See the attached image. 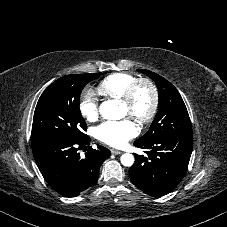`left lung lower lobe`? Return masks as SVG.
Here are the masks:
<instances>
[{
	"label": "left lung lower lobe",
	"instance_id": "0a47b994",
	"mask_svg": "<svg viewBox=\"0 0 227 227\" xmlns=\"http://www.w3.org/2000/svg\"><path fill=\"white\" fill-rule=\"evenodd\" d=\"M138 148L146 149V156H135L129 169L132 183L150 196L170 193L184 177L192 148L193 135H178L158 139L150 143L134 142Z\"/></svg>",
	"mask_w": 227,
	"mask_h": 227
}]
</instances>
